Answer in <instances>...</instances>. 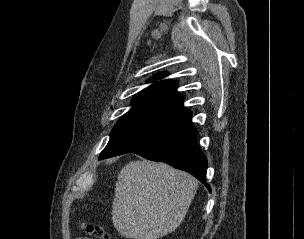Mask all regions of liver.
Returning a JSON list of instances; mask_svg holds the SVG:
<instances>
[{
	"mask_svg": "<svg viewBox=\"0 0 304 239\" xmlns=\"http://www.w3.org/2000/svg\"><path fill=\"white\" fill-rule=\"evenodd\" d=\"M197 186L192 175L167 164L129 162L115 185L113 225L126 238H161L184 220Z\"/></svg>",
	"mask_w": 304,
	"mask_h": 239,
	"instance_id": "1",
	"label": "liver"
}]
</instances>
